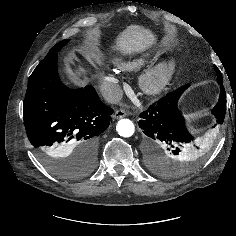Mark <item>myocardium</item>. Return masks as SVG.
Wrapping results in <instances>:
<instances>
[{
	"instance_id": "1",
	"label": "myocardium",
	"mask_w": 236,
	"mask_h": 236,
	"mask_svg": "<svg viewBox=\"0 0 236 236\" xmlns=\"http://www.w3.org/2000/svg\"><path fill=\"white\" fill-rule=\"evenodd\" d=\"M176 66L172 61H162L147 69L140 78V86L144 93L155 96L166 90Z\"/></svg>"
}]
</instances>
